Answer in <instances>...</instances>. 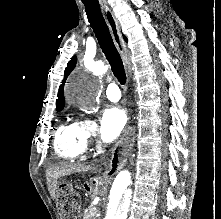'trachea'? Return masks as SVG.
Segmentation results:
<instances>
[{
	"label": "trachea",
	"instance_id": "trachea-1",
	"mask_svg": "<svg viewBox=\"0 0 221 219\" xmlns=\"http://www.w3.org/2000/svg\"><path fill=\"white\" fill-rule=\"evenodd\" d=\"M86 14L100 48L105 54L114 76L121 84L126 82V74L121 56L113 42L108 26L102 15L99 3H84Z\"/></svg>",
	"mask_w": 221,
	"mask_h": 219
}]
</instances>
